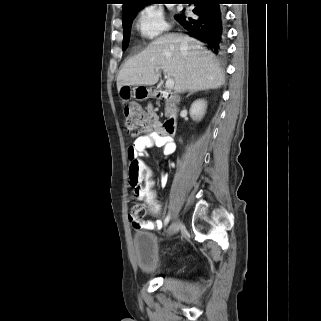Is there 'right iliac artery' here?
I'll list each match as a JSON object with an SVG mask.
<instances>
[{"instance_id":"82829eb1","label":"right iliac artery","mask_w":321,"mask_h":321,"mask_svg":"<svg viewBox=\"0 0 321 321\" xmlns=\"http://www.w3.org/2000/svg\"><path fill=\"white\" fill-rule=\"evenodd\" d=\"M170 221V214H168L164 220V225L166 226Z\"/></svg>"}]
</instances>
